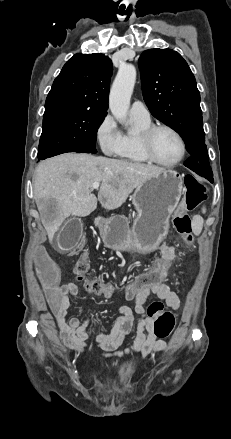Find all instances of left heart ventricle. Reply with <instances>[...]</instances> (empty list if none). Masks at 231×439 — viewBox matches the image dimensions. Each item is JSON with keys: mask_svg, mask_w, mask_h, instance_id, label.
Wrapping results in <instances>:
<instances>
[{"mask_svg": "<svg viewBox=\"0 0 231 439\" xmlns=\"http://www.w3.org/2000/svg\"><path fill=\"white\" fill-rule=\"evenodd\" d=\"M152 149L156 158L166 163L175 161L181 152L178 139L167 130H159L154 134Z\"/></svg>", "mask_w": 231, "mask_h": 439, "instance_id": "obj_1", "label": "left heart ventricle"}]
</instances>
